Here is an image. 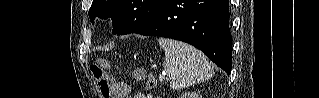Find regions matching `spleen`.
Returning a JSON list of instances; mask_svg holds the SVG:
<instances>
[{
  "instance_id": "3e777b00",
  "label": "spleen",
  "mask_w": 319,
  "mask_h": 98,
  "mask_svg": "<svg viewBox=\"0 0 319 98\" xmlns=\"http://www.w3.org/2000/svg\"><path fill=\"white\" fill-rule=\"evenodd\" d=\"M159 45L165 52L164 69L172 89L187 88L212 77V63L196 48L165 38L159 39Z\"/></svg>"
}]
</instances>
